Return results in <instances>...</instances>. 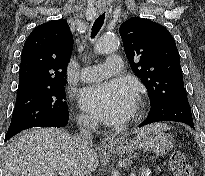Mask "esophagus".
Instances as JSON below:
<instances>
[{
    "instance_id": "esophagus-1",
    "label": "esophagus",
    "mask_w": 205,
    "mask_h": 176,
    "mask_svg": "<svg viewBox=\"0 0 205 176\" xmlns=\"http://www.w3.org/2000/svg\"><path fill=\"white\" fill-rule=\"evenodd\" d=\"M103 148L114 147L117 143L113 138H104L101 142Z\"/></svg>"
}]
</instances>
